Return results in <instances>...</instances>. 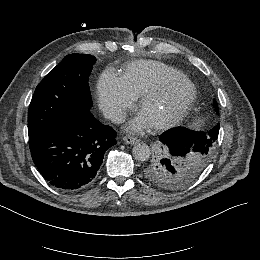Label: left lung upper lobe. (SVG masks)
Instances as JSON below:
<instances>
[{
	"label": "left lung upper lobe",
	"mask_w": 260,
	"mask_h": 260,
	"mask_svg": "<svg viewBox=\"0 0 260 260\" xmlns=\"http://www.w3.org/2000/svg\"><path fill=\"white\" fill-rule=\"evenodd\" d=\"M213 107L219 114L218 104ZM212 158V148L207 152L185 156H173L161 142H158L150 159L143 166V175L156 186L176 190L192 184L202 174Z\"/></svg>",
	"instance_id": "left-lung-upper-lobe-1"
}]
</instances>
